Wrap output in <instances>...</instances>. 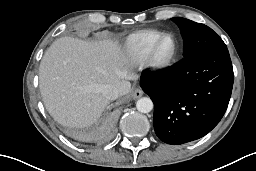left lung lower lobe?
Listing matches in <instances>:
<instances>
[{"mask_svg": "<svg viewBox=\"0 0 256 171\" xmlns=\"http://www.w3.org/2000/svg\"><path fill=\"white\" fill-rule=\"evenodd\" d=\"M233 79L227 47L201 49L162 72H143L140 85L154 103L159 139L179 145L210 132L227 109Z\"/></svg>", "mask_w": 256, "mask_h": 171, "instance_id": "1", "label": "left lung lower lobe"}]
</instances>
